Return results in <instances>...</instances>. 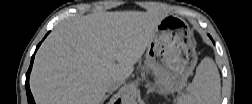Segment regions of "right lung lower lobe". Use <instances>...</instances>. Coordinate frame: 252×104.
I'll list each match as a JSON object with an SVG mask.
<instances>
[{"label": "right lung lower lobe", "mask_w": 252, "mask_h": 104, "mask_svg": "<svg viewBox=\"0 0 252 104\" xmlns=\"http://www.w3.org/2000/svg\"><path fill=\"white\" fill-rule=\"evenodd\" d=\"M41 44V43H40ZM40 44L37 46V49L38 47L40 46ZM36 49V50H37ZM36 52V51H35ZM34 56H35V53L34 55L32 56V59H31V64H30V67H29V70L26 74V82H25V87H26V92H27V99H28V104H35L34 102V99H33V96L31 94V91H30V88H29V76H30V72H31V69H32V64H33V60H34ZM120 100L117 101V103H119Z\"/></svg>", "instance_id": "right-lung-lower-lobe-1"}]
</instances>
